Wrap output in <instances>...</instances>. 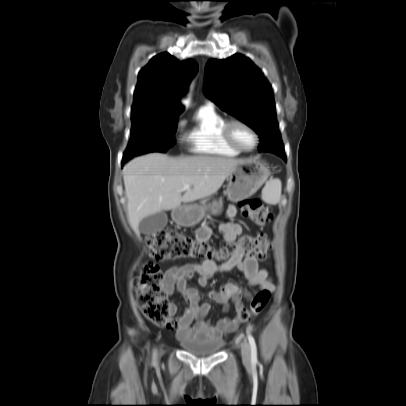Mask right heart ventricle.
Returning a JSON list of instances; mask_svg holds the SVG:
<instances>
[{
	"instance_id": "e07e8e85",
	"label": "right heart ventricle",
	"mask_w": 406,
	"mask_h": 406,
	"mask_svg": "<svg viewBox=\"0 0 406 406\" xmlns=\"http://www.w3.org/2000/svg\"><path fill=\"white\" fill-rule=\"evenodd\" d=\"M226 119L212 105L200 107L194 124L185 136L190 150L197 154L234 157L240 151L230 146L223 137Z\"/></svg>"
}]
</instances>
